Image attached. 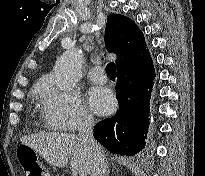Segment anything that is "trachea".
Listing matches in <instances>:
<instances>
[{
    "mask_svg": "<svg viewBox=\"0 0 205 176\" xmlns=\"http://www.w3.org/2000/svg\"><path fill=\"white\" fill-rule=\"evenodd\" d=\"M106 71H107L109 76L115 77L116 76V67H115L114 63H112V62L108 63L106 66Z\"/></svg>",
    "mask_w": 205,
    "mask_h": 176,
    "instance_id": "trachea-1",
    "label": "trachea"
}]
</instances>
